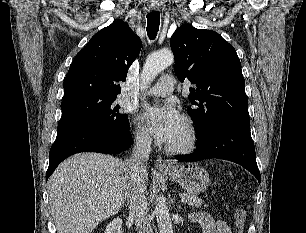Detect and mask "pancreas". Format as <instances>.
Segmentation results:
<instances>
[{"instance_id": "pancreas-1", "label": "pancreas", "mask_w": 306, "mask_h": 233, "mask_svg": "<svg viewBox=\"0 0 306 233\" xmlns=\"http://www.w3.org/2000/svg\"><path fill=\"white\" fill-rule=\"evenodd\" d=\"M183 197L186 198V203L188 206H191L193 208H199L203 204V200L197 196H194L189 193L183 194Z\"/></svg>"}]
</instances>
